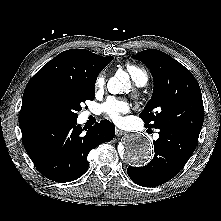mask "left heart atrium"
Segmentation results:
<instances>
[{
	"mask_svg": "<svg viewBox=\"0 0 221 221\" xmlns=\"http://www.w3.org/2000/svg\"><path fill=\"white\" fill-rule=\"evenodd\" d=\"M103 113L116 124L122 122V115L129 112L130 106L125 100L109 98L102 105Z\"/></svg>",
	"mask_w": 221,
	"mask_h": 221,
	"instance_id": "39dd6f15",
	"label": "left heart atrium"
}]
</instances>
